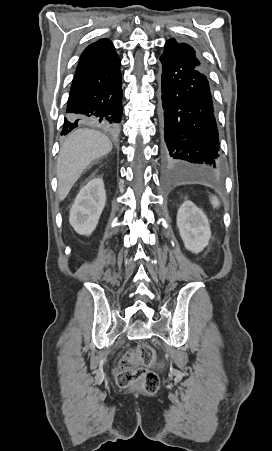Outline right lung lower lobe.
I'll list each match as a JSON object with an SVG mask.
<instances>
[{
	"mask_svg": "<svg viewBox=\"0 0 272 451\" xmlns=\"http://www.w3.org/2000/svg\"><path fill=\"white\" fill-rule=\"evenodd\" d=\"M122 77L116 52L79 62L71 85L61 135L92 124L117 133L122 117Z\"/></svg>",
	"mask_w": 272,
	"mask_h": 451,
	"instance_id": "1",
	"label": "right lung lower lobe"
}]
</instances>
